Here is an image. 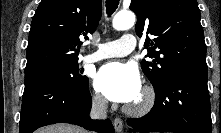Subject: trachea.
<instances>
[{
    "mask_svg": "<svg viewBox=\"0 0 221 133\" xmlns=\"http://www.w3.org/2000/svg\"><path fill=\"white\" fill-rule=\"evenodd\" d=\"M119 0H106L107 14L111 15L118 7Z\"/></svg>",
    "mask_w": 221,
    "mask_h": 133,
    "instance_id": "trachea-1",
    "label": "trachea"
}]
</instances>
